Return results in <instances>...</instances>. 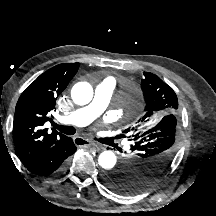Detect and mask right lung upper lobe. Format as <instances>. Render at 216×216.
<instances>
[{
  "label": "right lung upper lobe",
  "instance_id": "cb5924a9",
  "mask_svg": "<svg viewBox=\"0 0 216 216\" xmlns=\"http://www.w3.org/2000/svg\"><path fill=\"white\" fill-rule=\"evenodd\" d=\"M79 63L56 65L40 75L21 94L15 109L14 140L20 160L29 166L67 136L44 128L57 96L77 73Z\"/></svg>",
  "mask_w": 216,
  "mask_h": 216
}]
</instances>
